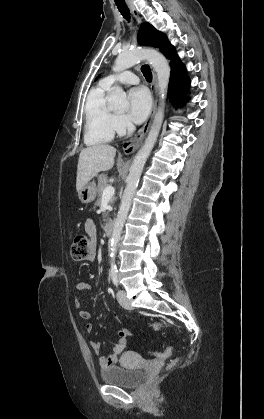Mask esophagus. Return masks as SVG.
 <instances>
[{"mask_svg": "<svg viewBox=\"0 0 264 419\" xmlns=\"http://www.w3.org/2000/svg\"><path fill=\"white\" fill-rule=\"evenodd\" d=\"M131 12L134 16V18L136 19V21L138 22V24H141V18L139 16V13L137 12V10L132 6L129 5ZM152 69V68H151ZM152 74H153V83L151 86V90L153 93H155L156 91V75L154 70L152 69ZM156 110V99H154L153 101V105H152V111L151 114L149 116V118L146 120V122L144 123V125L142 126V128L140 129V131L137 133V135L134 137V139L128 140L123 144V152L125 154H131L133 153L139 146L140 144L143 142L146 134L148 133V130L150 128L151 125V121L153 118V115L155 113Z\"/></svg>", "mask_w": 264, "mask_h": 419, "instance_id": "34e87169", "label": "esophagus"}]
</instances>
